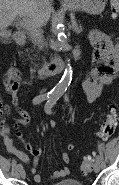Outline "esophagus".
<instances>
[{"label":"esophagus","mask_w":119,"mask_h":185,"mask_svg":"<svg viewBox=\"0 0 119 185\" xmlns=\"http://www.w3.org/2000/svg\"><path fill=\"white\" fill-rule=\"evenodd\" d=\"M61 3H63V4H71L72 0H61Z\"/></svg>","instance_id":"esophagus-1"}]
</instances>
